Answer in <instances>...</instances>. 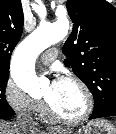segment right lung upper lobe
<instances>
[{
	"label": "right lung upper lobe",
	"mask_w": 116,
	"mask_h": 134,
	"mask_svg": "<svg viewBox=\"0 0 116 134\" xmlns=\"http://www.w3.org/2000/svg\"><path fill=\"white\" fill-rule=\"evenodd\" d=\"M21 0H0V72H8L10 57L23 31Z\"/></svg>",
	"instance_id": "cb5924a9"
}]
</instances>
